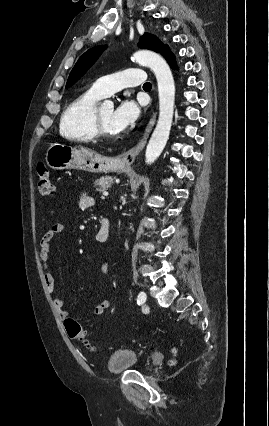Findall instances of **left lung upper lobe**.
Returning <instances> with one entry per match:
<instances>
[{
    "label": "left lung upper lobe",
    "instance_id": "1",
    "mask_svg": "<svg viewBox=\"0 0 269 426\" xmlns=\"http://www.w3.org/2000/svg\"><path fill=\"white\" fill-rule=\"evenodd\" d=\"M167 45L161 43V41L154 35L145 33L139 41V47L143 49H150L157 53H160ZM104 46H97L86 51L77 61L74 68L72 69L66 87H71L75 84L85 73L86 71L94 64L98 59Z\"/></svg>",
    "mask_w": 269,
    "mask_h": 426
}]
</instances>
